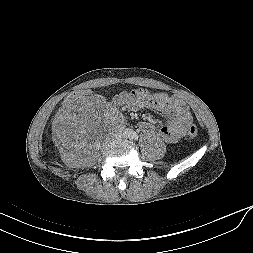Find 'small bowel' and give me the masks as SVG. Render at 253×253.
<instances>
[{"instance_id": "1", "label": "small bowel", "mask_w": 253, "mask_h": 253, "mask_svg": "<svg viewBox=\"0 0 253 253\" xmlns=\"http://www.w3.org/2000/svg\"><path fill=\"white\" fill-rule=\"evenodd\" d=\"M113 102L116 106H126L131 110L151 108L165 115L167 122L157 133L168 143L179 141L192 121L186 103L164 92H149L145 89L123 91L114 97ZM140 129L145 133L155 131L154 125L149 122H141Z\"/></svg>"}]
</instances>
